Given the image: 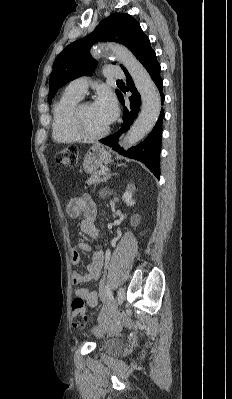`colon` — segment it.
Returning a JSON list of instances; mask_svg holds the SVG:
<instances>
[{
  "label": "colon",
  "instance_id": "colon-1",
  "mask_svg": "<svg viewBox=\"0 0 232 399\" xmlns=\"http://www.w3.org/2000/svg\"><path fill=\"white\" fill-rule=\"evenodd\" d=\"M78 158H79V149H74L73 154V145H68V149H65V152H62L61 155H56V164L60 165L61 160L62 164L66 166L71 165H78ZM75 301H82V296H75ZM74 308H81L75 309V311H71V327L75 328L76 325H81V332H86V307H84L83 303H74ZM105 324H126L127 318L125 313H109L108 317L104 319ZM103 335H112L113 330L112 328H103L102 330Z\"/></svg>",
  "mask_w": 232,
  "mask_h": 399
}]
</instances>
